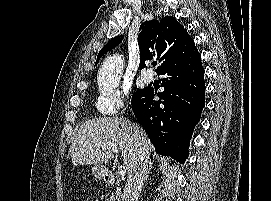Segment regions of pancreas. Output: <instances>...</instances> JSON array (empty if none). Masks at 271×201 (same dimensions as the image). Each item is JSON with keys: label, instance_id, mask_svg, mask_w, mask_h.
<instances>
[{"label": "pancreas", "instance_id": "pancreas-1", "mask_svg": "<svg viewBox=\"0 0 271 201\" xmlns=\"http://www.w3.org/2000/svg\"><path fill=\"white\" fill-rule=\"evenodd\" d=\"M121 189L117 188L115 192H112L106 197V201H120Z\"/></svg>", "mask_w": 271, "mask_h": 201}]
</instances>
